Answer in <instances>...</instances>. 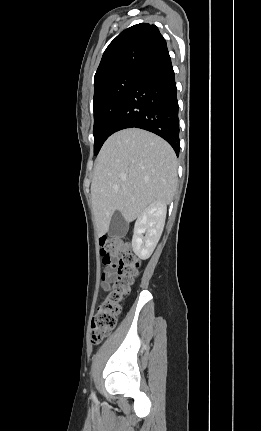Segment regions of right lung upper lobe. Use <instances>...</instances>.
<instances>
[{
  "label": "right lung upper lobe",
  "instance_id": "1",
  "mask_svg": "<svg viewBox=\"0 0 261 431\" xmlns=\"http://www.w3.org/2000/svg\"><path fill=\"white\" fill-rule=\"evenodd\" d=\"M167 50L155 25L140 23L125 29L106 48L94 77V89L122 73L140 71Z\"/></svg>",
  "mask_w": 261,
  "mask_h": 431
}]
</instances>
